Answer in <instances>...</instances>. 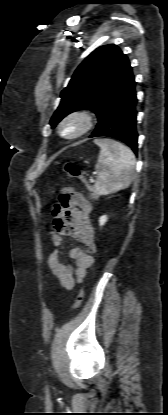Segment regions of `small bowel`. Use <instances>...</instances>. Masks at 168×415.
Segmentation results:
<instances>
[{
    "label": "small bowel",
    "instance_id": "1",
    "mask_svg": "<svg viewBox=\"0 0 168 415\" xmlns=\"http://www.w3.org/2000/svg\"><path fill=\"white\" fill-rule=\"evenodd\" d=\"M56 194L59 196V201L53 208L56 232H51L54 250L48 258V266L60 281L62 288L71 290L85 278L88 268L93 263V254L96 252L95 233L90 221L91 204L72 189L59 188ZM61 234L71 235L84 246V250L74 248L70 251L75 268L60 259Z\"/></svg>",
    "mask_w": 168,
    "mask_h": 415
}]
</instances>
